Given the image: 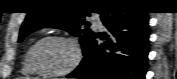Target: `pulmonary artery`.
<instances>
[{
    "label": "pulmonary artery",
    "instance_id": "e3ab8cb5",
    "mask_svg": "<svg viewBox=\"0 0 177 79\" xmlns=\"http://www.w3.org/2000/svg\"><path fill=\"white\" fill-rule=\"evenodd\" d=\"M93 21H94V25L97 27V28H102L103 25H102V21L100 19V17L98 15L96 16H93Z\"/></svg>",
    "mask_w": 177,
    "mask_h": 79
}]
</instances>
